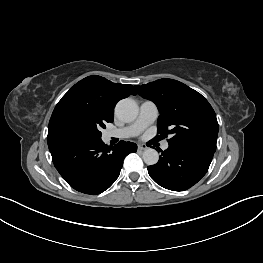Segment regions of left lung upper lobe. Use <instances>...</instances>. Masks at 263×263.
Here are the masks:
<instances>
[{
  "mask_svg": "<svg viewBox=\"0 0 263 263\" xmlns=\"http://www.w3.org/2000/svg\"><path fill=\"white\" fill-rule=\"evenodd\" d=\"M137 93L153 101L160 112L154 140L170 136L169 144L215 152L218 135L216 114L197 91L173 79L136 85Z\"/></svg>",
  "mask_w": 263,
  "mask_h": 263,
  "instance_id": "obj_1",
  "label": "left lung upper lobe"
}]
</instances>
